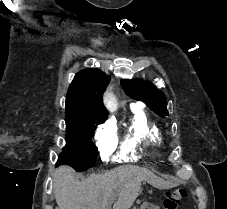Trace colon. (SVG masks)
Listing matches in <instances>:
<instances>
[{
  "mask_svg": "<svg viewBox=\"0 0 227 209\" xmlns=\"http://www.w3.org/2000/svg\"><path fill=\"white\" fill-rule=\"evenodd\" d=\"M187 197L186 190L173 188L166 193L163 199V209H178L179 204Z\"/></svg>",
  "mask_w": 227,
  "mask_h": 209,
  "instance_id": "5ec220e1",
  "label": "colon"
}]
</instances>
